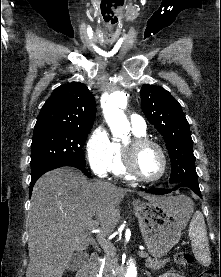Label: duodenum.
I'll use <instances>...</instances> for the list:
<instances>
[{
	"label": "duodenum",
	"instance_id": "410a0bca",
	"mask_svg": "<svg viewBox=\"0 0 221 277\" xmlns=\"http://www.w3.org/2000/svg\"><path fill=\"white\" fill-rule=\"evenodd\" d=\"M101 265V256L98 253H93L88 264L82 268L77 277H93Z\"/></svg>",
	"mask_w": 221,
	"mask_h": 277
}]
</instances>
